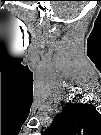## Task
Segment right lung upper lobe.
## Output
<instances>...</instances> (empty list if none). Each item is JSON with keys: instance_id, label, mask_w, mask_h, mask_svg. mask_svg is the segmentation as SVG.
<instances>
[{"instance_id": "cb5924a9", "label": "right lung upper lobe", "mask_w": 101, "mask_h": 135, "mask_svg": "<svg viewBox=\"0 0 101 135\" xmlns=\"http://www.w3.org/2000/svg\"><path fill=\"white\" fill-rule=\"evenodd\" d=\"M99 113L89 104L69 103L55 116L50 130H60L64 135H99Z\"/></svg>"}]
</instances>
